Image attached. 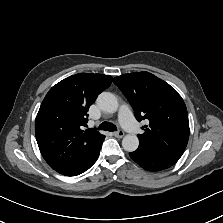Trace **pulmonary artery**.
Segmentation results:
<instances>
[{"instance_id":"pulmonary-artery-1","label":"pulmonary artery","mask_w":223,"mask_h":223,"mask_svg":"<svg viewBox=\"0 0 223 223\" xmlns=\"http://www.w3.org/2000/svg\"><path fill=\"white\" fill-rule=\"evenodd\" d=\"M132 110L128 106H123L118 112V119L121 122V128L128 133H138L142 129V124L138 120H132Z\"/></svg>"}]
</instances>
